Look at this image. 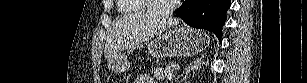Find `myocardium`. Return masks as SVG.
<instances>
[{"label": "myocardium", "instance_id": "1", "mask_svg": "<svg viewBox=\"0 0 307 83\" xmlns=\"http://www.w3.org/2000/svg\"><path fill=\"white\" fill-rule=\"evenodd\" d=\"M147 6L154 10V13L158 15H167L170 14L180 2L179 0H172V2L168 3L165 7L159 8L156 7L154 0H143Z\"/></svg>", "mask_w": 307, "mask_h": 83}]
</instances>
